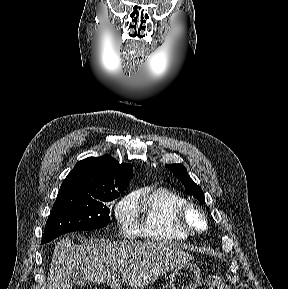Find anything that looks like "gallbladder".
I'll list each match as a JSON object with an SVG mask.
<instances>
[{
	"instance_id": "gallbladder-1",
	"label": "gallbladder",
	"mask_w": 288,
	"mask_h": 289,
	"mask_svg": "<svg viewBox=\"0 0 288 289\" xmlns=\"http://www.w3.org/2000/svg\"><path fill=\"white\" fill-rule=\"evenodd\" d=\"M71 278L73 283L77 286H84L86 283V280L78 272H74Z\"/></svg>"
}]
</instances>
